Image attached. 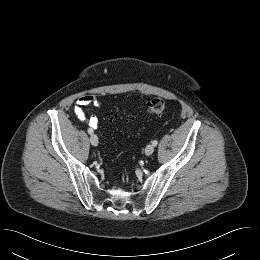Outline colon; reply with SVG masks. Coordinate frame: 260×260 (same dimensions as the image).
I'll return each instance as SVG.
<instances>
[{"instance_id":"1","label":"colon","mask_w":260,"mask_h":260,"mask_svg":"<svg viewBox=\"0 0 260 260\" xmlns=\"http://www.w3.org/2000/svg\"><path fill=\"white\" fill-rule=\"evenodd\" d=\"M165 109V101L162 98H152L147 104V111L150 114H161Z\"/></svg>"}]
</instances>
